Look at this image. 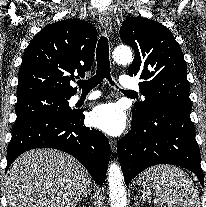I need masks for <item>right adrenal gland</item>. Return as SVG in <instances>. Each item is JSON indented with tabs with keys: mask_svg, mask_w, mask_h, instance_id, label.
Instances as JSON below:
<instances>
[{
	"mask_svg": "<svg viewBox=\"0 0 206 207\" xmlns=\"http://www.w3.org/2000/svg\"><path fill=\"white\" fill-rule=\"evenodd\" d=\"M88 196L91 197V190H90V188H88L86 194L83 196V199L88 197Z\"/></svg>",
	"mask_w": 206,
	"mask_h": 207,
	"instance_id": "obj_1",
	"label": "right adrenal gland"
}]
</instances>
